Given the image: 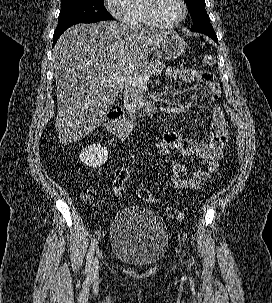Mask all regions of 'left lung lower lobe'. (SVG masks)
<instances>
[{
  "label": "left lung lower lobe",
  "instance_id": "0a47b994",
  "mask_svg": "<svg viewBox=\"0 0 272 303\" xmlns=\"http://www.w3.org/2000/svg\"><path fill=\"white\" fill-rule=\"evenodd\" d=\"M205 35H208L210 38H212L216 43H218V39H217V36L215 34V32H205L203 33Z\"/></svg>",
  "mask_w": 272,
  "mask_h": 303
}]
</instances>
